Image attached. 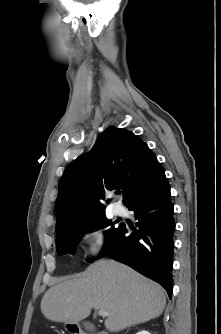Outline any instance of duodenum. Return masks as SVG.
<instances>
[{"label":"duodenum","mask_w":221,"mask_h":334,"mask_svg":"<svg viewBox=\"0 0 221 334\" xmlns=\"http://www.w3.org/2000/svg\"><path fill=\"white\" fill-rule=\"evenodd\" d=\"M73 334H85L82 330H80V329H78V328H75L74 330H73ZM97 334H108V333H106V332H104V331H100V332H98Z\"/></svg>","instance_id":"1"}]
</instances>
